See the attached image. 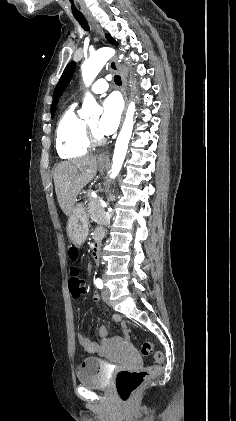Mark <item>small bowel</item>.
Here are the masks:
<instances>
[{
	"instance_id": "c3829d8e",
	"label": "small bowel",
	"mask_w": 236,
	"mask_h": 421,
	"mask_svg": "<svg viewBox=\"0 0 236 421\" xmlns=\"http://www.w3.org/2000/svg\"><path fill=\"white\" fill-rule=\"evenodd\" d=\"M103 333H106V334H107V330H106V328H104V327H102V328H101V330H100V335H101V334H103Z\"/></svg>"
}]
</instances>
